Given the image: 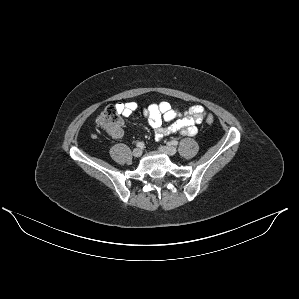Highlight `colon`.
<instances>
[{"label": "colon", "mask_w": 299, "mask_h": 299, "mask_svg": "<svg viewBox=\"0 0 299 299\" xmlns=\"http://www.w3.org/2000/svg\"><path fill=\"white\" fill-rule=\"evenodd\" d=\"M205 120L208 124H212L214 122V117L211 114H206ZM96 125L99 129L107 133H118L122 127L120 113L113 106L107 107L96 118Z\"/></svg>", "instance_id": "obj_1"}]
</instances>
